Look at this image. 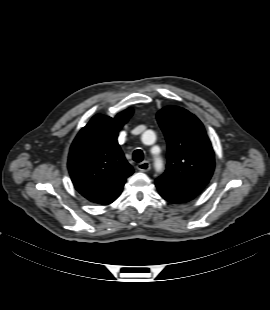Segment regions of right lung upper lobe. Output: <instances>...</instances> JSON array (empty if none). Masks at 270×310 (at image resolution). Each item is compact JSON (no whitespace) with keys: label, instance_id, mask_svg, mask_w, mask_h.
Instances as JSON below:
<instances>
[{"label":"right lung upper lobe","instance_id":"cb5924a9","mask_svg":"<svg viewBox=\"0 0 270 310\" xmlns=\"http://www.w3.org/2000/svg\"><path fill=\"white\" fill-rule=\"evenodd\" d=\"M132 114L129 108L115 118L95 115L71 145L68 170L72 182L91 202L104 205L117 198L133 173L117 142L119 130Z\"/></svg>","mask_w":270,"mask_h":310}]
</instances>
